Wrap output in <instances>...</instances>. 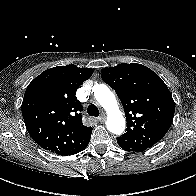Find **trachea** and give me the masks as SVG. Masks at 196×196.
<instances>
[{"label": "trachea", "instance_id": "obj_1", "mask_svg": "<svg viewBox=\"0 0 196 196\" xmlns=\"http://www.w3.org/2000/svg\"><path fill=\"white\" fill-rule=\"evenodd\" d=\"M87 113L90 116H93V117H98L99 116V110H98L97 106L94 105V104H91V105L88 106Z\"/></svg>", "mask_w": 196, "mask_h": 196}]
</instances>
